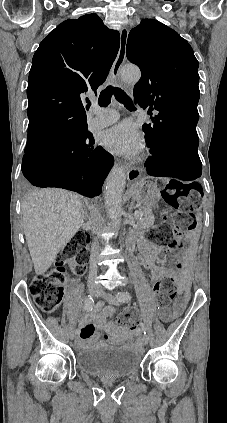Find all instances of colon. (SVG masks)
Wrapping results in <instances>:
<instances>
[{"mask_svg":"<svg viewBox=\"0 0 227 423\" xmlns=\"http://www.w3.org/2000/svg\"><path fill=\"white\" fill-rule=\"evenodd\" d=\"M166 203L174 208V213L164 218V221L148 232L149 238L157 245L170 251H178L185 246V240L180 236L184 230L195 228L194 211L200 205L201 191L197 183L181 184L168 182L161 188ZM89 235L77 232L64 246L58 255L54 266L47 272L36 276L29 291L36 305L45 313L54 312L63 299L64 287L67 282L66 265L70 264L76 274H82L88 259L87 246ZM158 307L166 309L177 294L176 283L172 277H164L154 285ZM120 328L133 330L137 325L134 310H126L117 320Z\"/></svg>","mask_w":227,"mask_h":423,"instance_id":"colon-1","label":"colon"}]
</instances>
